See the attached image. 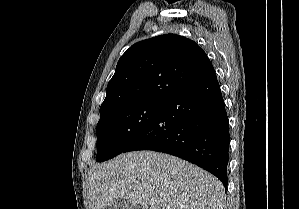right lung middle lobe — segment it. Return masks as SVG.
Returning a JSON list of instances; mask_svg holds the SVG:
<instances>
[{"label":"right lung middle lobe","mask_w":299,"mask_h":209,"mask_svg":"<svg viewBox=\"0 0 299 209\" xmlns=\"http://www.w3.org/2000/svg\"><path fill=\"white\" fill-rule=\"evenodd\" d=\"M164 102H136L100 113L97 157L102 162L122 153L152 123Z\"/></svg>","instance_id":"dd1d6c3e"}]
</instances>
